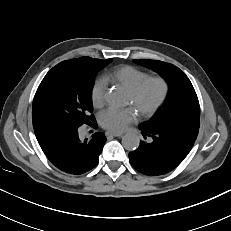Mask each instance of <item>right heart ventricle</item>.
<instances>
[{
  "label": "right heart ventricle",
  "mask_w": 231,
  "mask_h": 231,
  "mask_svg": "<svg viewBox=\"0 0 231 231\" xmlns=\"http://www.w3.org/2000/svg\"><path fill=\"white\" fill-rule=\"evenodd\" d=\"M148 76L149 74L146 71L136 67L122 66L107 75L106 78L123 86L129 91Z\"/></svg>",
  "instance_id": "e07e8e85"
}]
</instances>
